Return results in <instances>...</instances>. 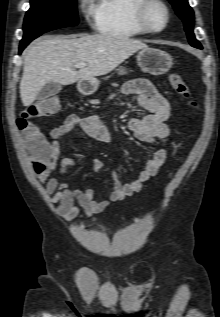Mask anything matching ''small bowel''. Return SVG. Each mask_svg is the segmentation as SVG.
<instances>
[{"instance_id":"1","label":"small bowel","mask_w":220,"mask_h":317,"mask_svg":"<svg viewBox=\"0 0 220 317\" xmlns=\"http://www.w3.org/2000/svg\"><path fill=\"white\" fill-rule=\"evenodd\" d=\"M122 92L147 111L145 116L130 120L129 127L133 135L140 141L157 145V149L147 158L139 176L132 182L123 184L119 175L112 172L114 189L107 198L98 200L94 196L93 189L72 190L66 183H60L56 177L51 176L54 171H57L58 175H63L76 165L74 158L61 157L59 140L69 135L75 128L80 129L89 138L107 144L114 142V136L94 115L68 116L62 125L55 127L50 132L52 145L50 162L43 169L33 167L38 181L45 185L51 202L58 204V214L67 221L77 217L79 208H82L87 216H91L102 212L113 202L121 201L140 192L145 188L147 182L157 175L166 160V144L171 136V131L165 124L170 114L168 100L149 80L144 78L128 82ZM92 168L96 172L101 171L104 168V162L95 158L92 161Z\"/></svg>"}]
</instances>
